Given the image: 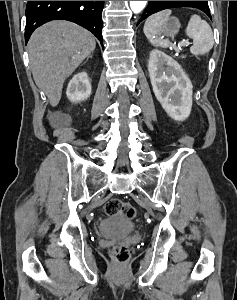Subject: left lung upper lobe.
<instances>
[{
  "instance_id": "1",
  "label": "left lung upper lobe",
  "mask_w": 237,
  "mask_h": 300,
  "mask_svg": "<svg viewBox=\"0 0 237 300\" xmlns=\"http://www.w3.org/2000/svg\"><path fill=\"white\" fill-rule=\"evenodd\" d=\"M177 7H192L200 9L204 13H206L211 19L208 1H149V4L145 9L139 22H141L151 14H154L161 10Z\"/></svg>"
}]
</instances>
